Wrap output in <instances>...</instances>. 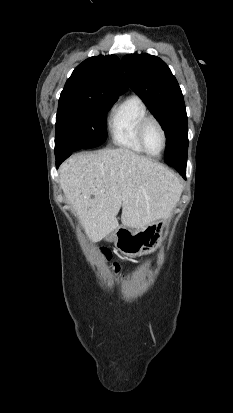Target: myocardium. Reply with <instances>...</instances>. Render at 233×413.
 Here are the masks:
<instances>
[{"label":"myocardium","instance_id":"obj_1","mask_svg":"<svg viewBox=\"0 0 233 413\" xmlns=\"http://www.w3.org/2000/svg\"><path fill=\"white\" fill-rule=\"evenodd\" d=\"M149 122H154L158 126V128L160 129L161 134H162L163 144H162L161 150L157 154H153V153L149 152V150L147 149L146 144H145L144 132H145V128H146V126ZM137 138H138L139 144L141 145L144 152L146 154H148L149 156H152V157L160 156L164 152V150L167 146V134H166V131H165V128H164L163 124L161 123V121L157 117H155L153 115H150V114H147L146 116H144L140 120V122L138 124V127H137Z\"/></svg>","mask_w":233,"mask_h":413}]
</instances>
